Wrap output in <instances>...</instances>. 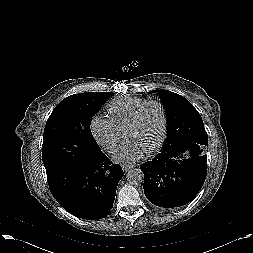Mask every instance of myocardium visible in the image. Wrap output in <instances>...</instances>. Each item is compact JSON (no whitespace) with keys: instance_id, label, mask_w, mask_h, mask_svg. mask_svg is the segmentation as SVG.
I'll use <instances>...</instances> for the list:
<instances>
[{"instance_id":"myocardium-1","label":"myocardium","mask_w":253,"mask_h":253,"mask_svg":"<svg viewBox=\"0 0 253 253\" xmlns=\"http://www.w3.org/2000/svg\"><path fill=\"white\" fill-rule=\"evenodd\" d=\"M151 105H156L160 108L161 113H162V127H161L160 135H159L157 141L148 150H146L147 153H152V152L156 151L162 145V143L165 139L168 118H167V112H166V108H165L164 104L158 100H150V101L145 102L136 110V112L133 114V116L131 117L130 121L128 122V124L124 130L126 133L127 131L132 129L139 121V119H140L142 113L145 111V109Z\"/></svg>"}]
</instances>
